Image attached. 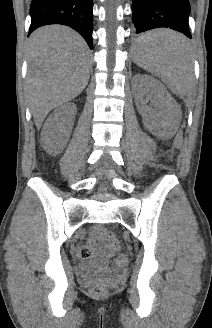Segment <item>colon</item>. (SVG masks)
<instances>
[{
  "label": "colon",
  "mask_w": 212,
  "mask_h": 328,
  "mask_svg": "<svg viewBox=\"0 0 212 328\" xmlns=\"http://www.w3.org/2000/svg\"><path fill=\"white\" fill-rule=\"evenodd\" d=\"M99 234L103 237V239L106 241L107 245L114 249L117 250L120 248V242L117 239V237L109 230L106 229H101L99 231ZM82 257H86L87 254L84 252H81ZM128 262V259L125 255H119L116 258V263L120 266L126 265ZM92 290L95 294H102L105 291V286L101 283H95L92 285Z\"/></svg>",
  "instance_id": "colon-1"
}]
</instances>
